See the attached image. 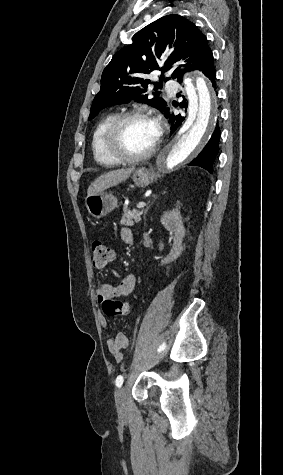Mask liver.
Listing matches in <instances>:
<instances>
[{"mask_svg":"<svg viewBox=\"0 0 283 475\" xmlns=\"http://www.w3.org/2000/svg\"><path fill=\"white\" fill-rule=\"evenodd\" d=\"M134 170L135 168H126V170H113V172L103 174V176L96 178L95 182H92L91 186H89L87 196H96V194H100V192L107 190V188L117 186L120 182L127 180Z\"/></svg>","mask_w":283,"mask_h":475,"instance_id":"6515ba94","label":"liver"}]
</instances>
